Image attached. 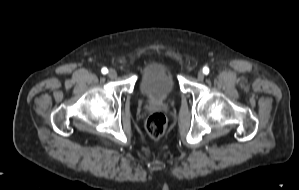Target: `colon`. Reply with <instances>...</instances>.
<instances>
[{"instance_id":"5ec220e1","label":"colon","mask_w":299,"mask_h":190,"mask_svg":"<svg viewBox=\"0 0 299 190\" xmlns=\"http://www.w3.org/2000/svg\"><path fill=\"white\" fill-rule=\"evenodd\" d=\"M167 127L166 117L160 113L155 112L149 116L146 122V129L152 138H160L165 133Z\"/></svg>"}]
</instances>
